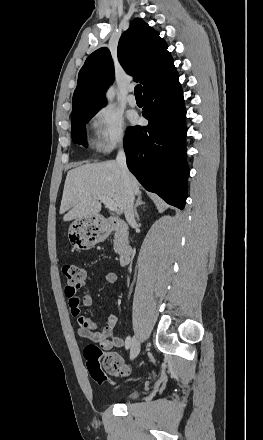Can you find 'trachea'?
Returning a JSON list of instances; mask_svg holds the SVG:
<instances>
[{"instance_id":"obj_1","label":"trachea","mask_w":263,"mask_h":440,"mask_svg":"<svg viewBox=\"0 0 263 440\" xmlns=\"http://www.w3.org/2000/svg\"><path fill=\"white\" fill-rule=\"evenodd\" d=\"M135 96H136V97H142L141 85H137V86L135 87Z\"/></svg>"}]
</instances>
